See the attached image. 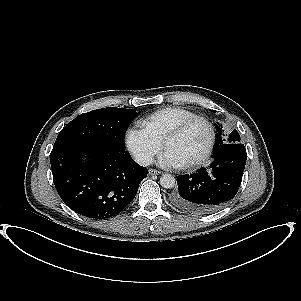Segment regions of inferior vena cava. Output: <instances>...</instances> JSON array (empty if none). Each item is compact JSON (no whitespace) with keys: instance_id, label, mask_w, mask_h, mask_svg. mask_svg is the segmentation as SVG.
Returning a JSON list of instances; mask_svg holds the SVG:
<instances>
[{"instance_id":"602c4592","label":"inferior vena cava","mask_w":301,"mask_h":301,"mask_svg":"<svg viewBox=\"0 0 301 301\" xmlns=\"http://www.w3.org/2000/svg\"><path fill=\"white\" fill-rule=\"evenodd\" d=\"M134 160L141 166H149L152 163V157L146 154H137L134 156Z\"/></svg>"}]
</instances>
